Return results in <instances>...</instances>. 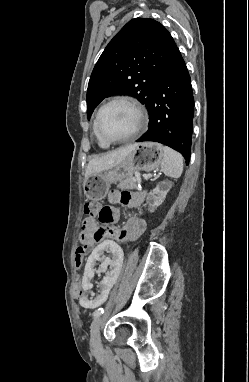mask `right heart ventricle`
I'll use <instances>...</instances> for the list:
<instances>
[{"label":"right heart ventricle","instance_id":"e07e8e85","mask_svg":"<svg viewBox=\"0 0 249 382\" xmlns=\"http://www.w3.org/2000/svg\"><path fill=\"white\" fill-rule=\"evenodd\" d=\"M93 133H94V135H95V137H96V140H97L98 145H99L101 148H108V147H109L110 144H108V143L102 141V140L99 138V136H98V134H97V132H96L95 121H94V124H93Z\"/></svg>","mask_w":249,"mask_h":382}]
</instances>
